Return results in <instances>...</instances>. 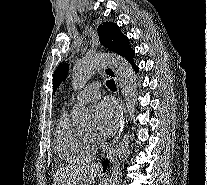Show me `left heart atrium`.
<instances>
[{
    "label": "left heart atrium",
    "instance_id": "left-heart-atrium-1",
    "mask_svg": "<svg viewBox=\"0 0 207 185\" xmlns=\"http://www.w3.org/2000/svg\"><path fill=\"white\" fill-rule=\"evenodd\" d=\"M97 129L104 137L112 136L119 126L120 112L110 99L100 102L95 109Z\"/></svg>",
    "mask_w": 207,
    "mask_h": 185
}]
</instances>
